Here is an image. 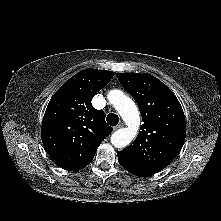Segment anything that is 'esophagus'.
<instances>
[{
    "label": "esophagus",
    "instance_id": "34e87169",
    "mask_svg": "<svg viewBox=\"0 0 221 221\" xmlns=\"http://www.w3.org/2000/svg\"><path fill=\"white\" fill-rule=\"evenodd\" d=\"M123 126H124L123 123H119L114 129L118 130L121 129Z\"/></svg>",
    "mask_w": 221,
    "mask_h": 221
}]
</instances>
